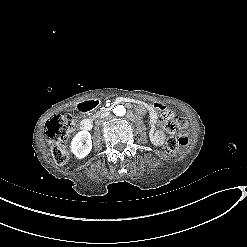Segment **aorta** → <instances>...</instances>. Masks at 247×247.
I'll use <instances>...</instances> for the list:
<instances>
[{
    "label": "aorta",
    "mask_w": 247,
    "mask_h": 247,
    "mask_svg": "<svg viewBox=\"0 0 247 247\" xmlns=\"http://www.w3.org/2000/svg\"><path fill=\"white\" fill-rule=\"evenodd\" d=\"M113 112L116 116H123L126 113V109L124 106L118 105L114 108Z\"/></svg>",
    "instance_id": "762f6f07"
}]
</instances>
